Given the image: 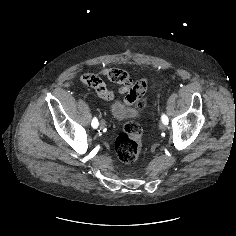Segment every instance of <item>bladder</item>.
<instances>
[{
	"instance_id": "31cf9c89",
	"label": "bladder",
	"mask_w": 236,
	"mask_h": 236,
	"mask_svg": "<svg viewBox=\"0 0 236 236\" xmlns=\"http://www.w3.org/2000/svg\"><path fill=\"white\" fill-rule=\"evenodd\" d=\"M139 111L133 105L124 104L121 100L115 99L111 103V115L116 121H124L138 116Z\"/></svg>"
}]
</instances>
